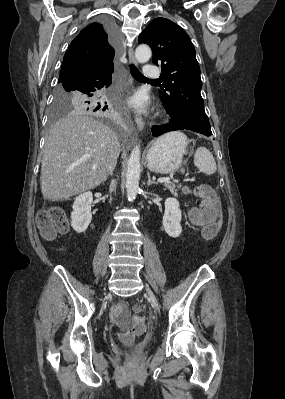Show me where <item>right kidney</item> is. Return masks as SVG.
<instances>
[{
	"label": "right kidney",
	"instance_id": "right-kidney-1",
	"mask_svg": "<svg viewBox=\"0 0 285 399\" xmlns=\"http://www.w3.org/2000/svg\"><path fill=\"white\" fill-rule=\"evenodd\" d=\"M93 196L91 192H85L77 196L73 203L71 213V226L77 233H83L92 220L91 205Z\"/></svg>",
	"mask_w": 285,
	"mask_h": 399
}]
</instances>
